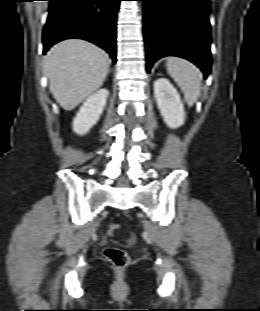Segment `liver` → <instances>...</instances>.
<instances>
[{
	"label": "liver",
	"instance_id": "obj_1",
	"mask_svg": "<svg viewBox=\"0 0 260 311\" xmlns=\"http://www.w3.org/2000/svg\"><path fill=\"white\" fill-rule=\"evenodd\" d=\"M108 69L107 54L81 39L56 44L43 61L50 91L65 110L74 109L93 94L103 84Z\"/></svg>",
	"mask_w": 260,
	"mask_h": 311
}]
</instances>
